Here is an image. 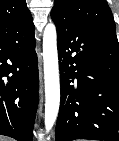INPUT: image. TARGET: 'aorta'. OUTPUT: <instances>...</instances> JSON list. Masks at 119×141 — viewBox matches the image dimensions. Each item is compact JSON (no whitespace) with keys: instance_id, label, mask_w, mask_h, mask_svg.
I'll return each mask as SVG.
<instances>
[{"instance_id":"aorta-1","label":"aorta","mask_w":119,"mask_h":141,"mask_svg":"<svg viewBox=\"0 0 119 141\" xmlns=\"http://www.w3.org/2000/svg\"><path fill=\"white\" fill-rule=\"evenodd\" d=\"M43 60L45 78V128L53 127L60 105V81L57 52V34L53 23L47 24L43 34Z\"/></svg>"}]
</instances>
